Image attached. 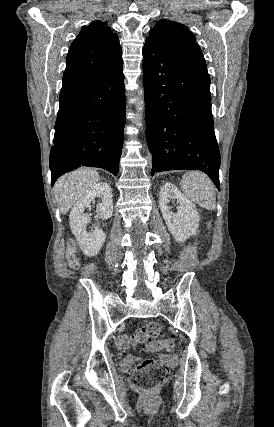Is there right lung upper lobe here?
<instances>
[{
  "label": "right lung upper lobe",
  "mask_w": 274,
  "mask_h": 427,
  "mask_svg": "<svg viewBox=\"0 0 274 427\" xmlns=\"http://www.w3.org/2000/svg\"><path fill=\"white\" fill-rule=\"evenodd\" d=\"M106 24L93 21L82 27L67 54L62 89L92 80L123 63L119 38Z\"/></svg>",
  "instance_id": "right-lung-upper-lobe-1"
}]
</instances>
